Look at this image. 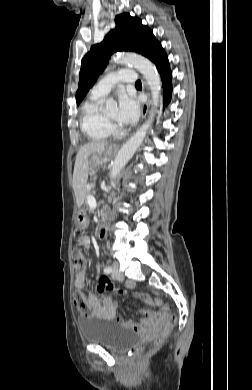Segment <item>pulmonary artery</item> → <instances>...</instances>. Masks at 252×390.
I'll use <instances>...</instances> for the list:
<instances>
[{
  "instance_id": "1",
  "label": "pulmonary artery",
  "mask_w": 252,
  "mask_h": 390,
  "mask_svg": "<svg viewBox=\"0 0 252 390\" xmlns=\"http://www.w3.org/2000/svg\"><path fill=\"white\" fill-rule=\"evenodd\" d=\"M137 74L133 70L120 69L105 75L91 90L94 97L103 98L119 82H135Z\"/></svg>"
}]
</instances>
